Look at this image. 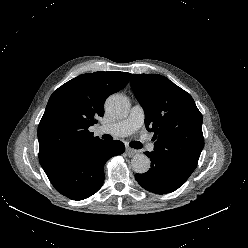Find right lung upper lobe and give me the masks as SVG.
<instances>
[{
  "label": "right lung upper lobe",
  "instance_id": "right-lung-upper-lobe-1",
  "mask_svg": "<svg viewBox=\"0 0 248 248\" xmlns=\"http://www.w3.org/2000/svg\"><path fill=\"white\" fill-rule=\"evenodd\" d=\"M129 79L126 72L86 73L53 92L38 126L39 162L44 171L74 147L100 140L88 128L104 115L105 99L123 89Z\"/></svg>",
  "mask_w": 248,
  "mask_h": 248
}]
</instances>
